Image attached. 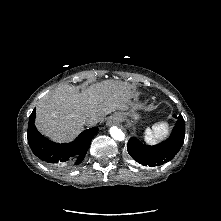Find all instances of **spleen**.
<instances>
[{
    "instance_id": "3e777b00",
    "label": "spleen",
    "mask_w": 221,
    "mask_h": 221,
    "mask_svg": "<svg viewBox=\"0 0 221 221\" xmlns=\"http://www.w3.org/2000/svg\"><path fill=\"white\" fill-rule=\"evenodd\" d=\"M168 125L166 123H156L152 129L146 128L144 140L148 144H155L159 139L166 136Z\"/></svg>"
}]
</instances>
